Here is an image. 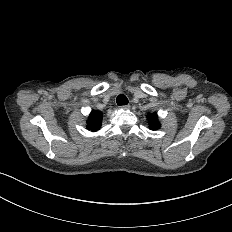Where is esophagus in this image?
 <instances>
[{
    "label": "esophagus",
    "mask_w": 232,
    "mask_h": 232,
    "mask_svg": "<svg viewBox=\"0 0 232 232\" xmlns=\"http://www.w3.org/2000/svg\"><path fill=\"white\" fill-rule=\"evenodd\" d=\"M119 109H121V110H129L130 109V105L119 106Z\"/></svg>",
    "instance_id": "1"
}]
</instances>
